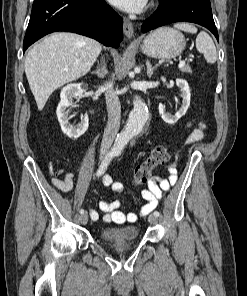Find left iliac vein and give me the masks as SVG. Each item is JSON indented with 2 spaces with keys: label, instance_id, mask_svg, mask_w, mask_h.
<instances>
[{
  "label": "left iliac vein",
  "instance_id": "left-iliac-vein-1",
  "mask_svg": "<svg viewBox=\"0 0 247 296\" xmlns=\"http://www.w3.org/2000/svg\"><path fill=\"white\" fill-rule=\"evenodd\" d=\"M148 221L151 223V224H156L158 222V217L155 216V215H149L148 217Z\"/></svg>",
  "mask_w": 247,
  "mask_h": 296
}]
</instances>
